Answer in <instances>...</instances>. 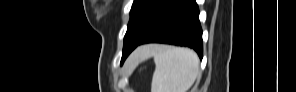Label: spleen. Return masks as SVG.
Instances as JSON below:
<instances>
[{
    "instance_id": "3e777b00",
    "label": "spleen",
    "mask_w": 296,
    "mask_h": 92,
    "mask_svg": "<svg viewBox=\"0 0 296 92\" xmlns=\"http://www.w3.org/2000/svg\"><path fill=\"white\" fill-rule=\"evenodd\" d=\"M139 53L143 59L154 57L151 92H187L199 75V58L190 49L153 45Z\"/></svg>"
}]
</instances>
